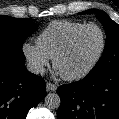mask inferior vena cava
Returning a JSON list of instances; mask_svg holds the SVG:
<instances>
[{
    "mask_svg": "<svg viewBox=\"0 0 119 119\" xmlns=\"http://www.w3.org/2000/svg\"><path fill=\"white\" fill-rule=\"evenodd\" d=\"M26 67L29 72L34 74H43L45 71L44 67L37 62H28Z\"/></svg>",
    "mask_w": 119,
    "mask_h": 119,
    "instance_id": "602c4592",
    "label": "inferior vena cava"
}]
</instances>
